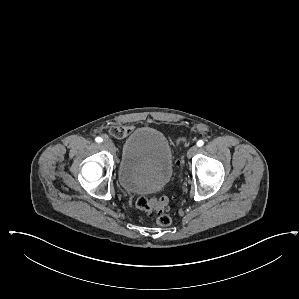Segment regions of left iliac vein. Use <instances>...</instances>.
I'll use <instances>...</instances> for the list:
<instances>
[{"instance_id": "1", "label": "left iliac vein", "mask_w": 299, "mask_h": 299, "mask_svg": "<svg viewBox=\"0 0 299 299\" xmlns=\"http://www.w3.org/2000/svg\"><path fill=\"white\" fill-rule=\"evenodd\" d=\"M197 151H198V146H196V145L191 146L189 148V150L187 151L188 158H191L192 156H194Z\"/></svg>"}]
</instances>
